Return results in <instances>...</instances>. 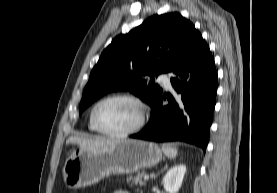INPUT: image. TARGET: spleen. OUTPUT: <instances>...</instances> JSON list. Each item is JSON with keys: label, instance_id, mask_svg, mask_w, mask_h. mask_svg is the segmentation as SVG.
<instances>
[{"label": "spleen", "instance_id": "obj_1", "mask_svg": "<svg viewBox=\"0 0 277 193\" xmlns=\"http://www.w3.org/2000/svg\"><path fill=\"white\" fill-rule=\"evenodd\" d=\"M162 150L167 157L172 158V159L176 158V156L178 154L177 148L170 147L167 145H163Z\"/></svg>", "mask_w": 277, "mask_h": 193}]
</instances>
